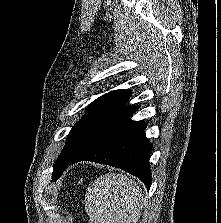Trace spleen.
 Instances as JSON below:
<instances>
[{"label": "spleen", "mask_w": 221, "mask_h": 223, "mask_svg": "<svg viewBox=\"0 0 221 223\" xmlns=\"http://www.w3.org/2000/svg\"><path fill=\"white\" fill-rule=\"evenodd\" d=\"M142 208V189L122 174L98 177L85 194L89 223H137Z\"/></svg>", "instance_id": "3e777b00"}]
</instances>
